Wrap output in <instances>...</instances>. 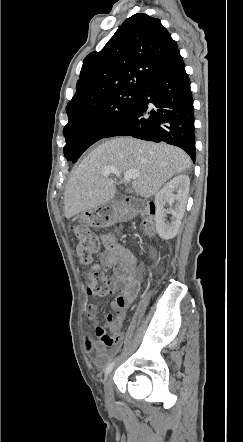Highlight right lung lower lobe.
I'll use <instances>...</instances> for the list:
<instances>
[{"instance_id": "1", "label": "right lung lower lobe", "mask_w": 243, "mask_h": 442, "mask_svg": "<svg viewBox=\"0 0 243 442\" xmlns=\"http://www.w3.org/2000/svg\"><path fill=\"white\" fill-rule=\"evenodd\" d=\"M194 107L190 81L178 52L144 83L128 114L105 135H130L166 142L186 151L195 161Z\"/></svg>"}]
</instances>
